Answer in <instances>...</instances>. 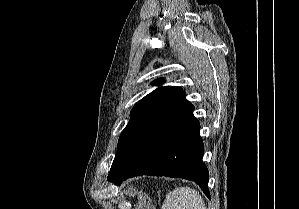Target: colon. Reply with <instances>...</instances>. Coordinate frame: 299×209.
<instances>
[{"instance_id":"obj_1","label":"colon","mask_w":299,"mask_h":209,"mask_svg":"<svg viewBox=\"0 0 299 209\" xmlns=\"http://www.w3.org/2000/svg\"><path fill=\"white\" fill-rule=\"evenodd\" d=\"M128 194H134V190L132 188H128L126 190ZM136 209H153L150 203V200L145 195H139V200L136 206Z\"/></svg>"}]
</instances>
